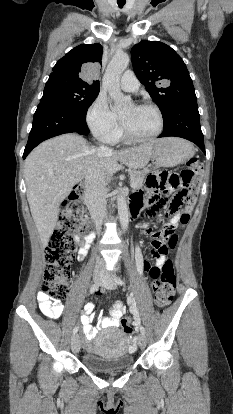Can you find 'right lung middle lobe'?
I'll use <instances>...</instances> for the list:
<instances>
[{
	"instance_id": "right-lung-middle-lobe-1",
	"label": "right lung middle lobe",
	"mask_w": 233,
	"mask_h": 414,
	"mask_svg": "<svg viewBox=\"0 0 233 414\" xmlns=\"http://www.w3.org/2000/svg\"><path fill=\"white\" fill-rule=\"evenodd\" d=\"M100 86L75 82L64 78H49L40 102H49L86 115L99 94Z\"/></svg>"
}]
</instances>
